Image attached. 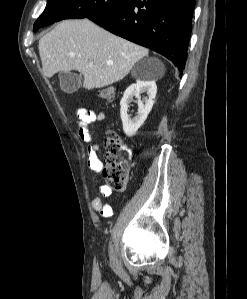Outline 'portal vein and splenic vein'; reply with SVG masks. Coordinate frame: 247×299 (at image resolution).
Returning <instances> with one entry per match:
<instances>
[{
    "mask_svg": "<svg viewBox=\"0 0 247 299\" xmlns=\"http://www.w3.org/2000/svg\"><path fill=\"white\" fill-rule=\"evenodd\" d=\"M89 65H90V66H92V65H93V63H89Z\"/></svg>",
    "mask_w": 247,
    "mask_h": 299,
    "instance_id": "1",
    "label": "portal vein and splenic vein"
}]
</instances>
